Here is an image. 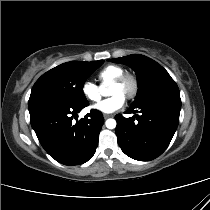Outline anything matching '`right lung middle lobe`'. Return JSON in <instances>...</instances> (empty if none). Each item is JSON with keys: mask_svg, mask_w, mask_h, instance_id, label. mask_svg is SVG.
<instances>
[{"mask_svg": "<svg viewBox=\"0 0 210 210\" xmlns=\"http://www.w3.org/2000/svg\"><path fill=\"white\" fill-rule=\"evenodd\" d=\"M103 62L104 60L71 61L49 70L34 84L28 102L29 108L49 101L87 103L83 93L84 82Z\"/></svg>", "mask_w": 210, "mask_h": 210, "instance_id": "right-lung-middle-lobe-1", "label": "right lung middle lobe"}]
</instances>
